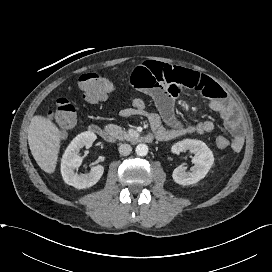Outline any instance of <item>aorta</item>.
I'll use <instances>...</instances> for the list:
<instances>
[{"label":"aorta","mask_w":272,"mask_h":272,"mask_svg":"<svg viewBox=\"0 0 272 272\" xmlns=\"http://www.w3.org/2000/svg\"><path fill=\"white\" fill-rule=\"evenodd\" d=\"M135 151L138 156H146L148 154V146L146 144H139L136 146Z\"/></svg>","instance_id":"aorta-1"}]
</instances>
